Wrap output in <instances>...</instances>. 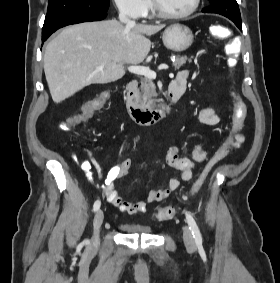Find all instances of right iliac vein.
<instances>
[{
    "label": "right iliac vein",
    "mask_w": 280,
    "mask_h": 283,
    "mask_svg": "<svg viewBox=\"0 0 280 283\" xmlns=\"http://www.w3.org/2000/svg\"><path fill=\"white\" fill-rule=\"evenodd\" d=\"M104 220V214L102 210H98L94 217V235L92 237V245L98 246L99 240V230Z\"/></svg>",
    "instance_id": "1"
}]
</instances>
